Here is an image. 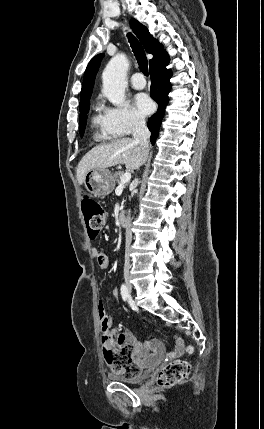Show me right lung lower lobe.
<instances>
[{"label":"right lung lower lobe","mask_w":264,"mask_h":429,"mask_svg":"<svg viewBox=\"0 0 264 429\" xmlns=\"http://www.w3.org/2000/svg\"><path fill=\"white\" fill-rule=\"evenodd\" d=\"M169 55L165 52L160 58H158L149 68L151 75V97L157 102L158 110L148 119V128L151 131L150 140L152 144L155 143L159 128L162 123L165 107L168 103V93L171 89L169 79L171 77V71L166 69L169 64Z\"/></svg>","instance_id":"98d812e1"}]
</instances>
